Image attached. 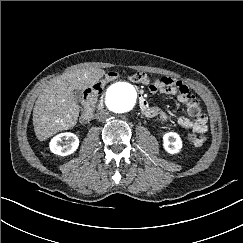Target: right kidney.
Here are the masks:
<instances>
[{"mask_svg":"<svg viewBox=\"0 0 243 243\" xmlns=\"http://www.w3.org/2000/svg\"><path fill=\"white\" fill-rule=\"evenodd\" d=\"M49 146L54 154L67 156L77 150L79 139L73 133H60L51 139Z\"/></svg>","mask_w":243,"mask_h":243,"instance_id":"right-kidney-1","label":"right kidney"}]
</instances>
